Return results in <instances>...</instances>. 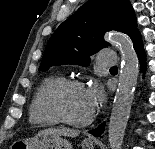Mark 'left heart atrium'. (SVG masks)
Masks as SVG:
<instances>
[{"instance_id": "obj_1", "label": "left heart atrium", "mask_w": 155, "mask_h": 149, "mask_svg": "<svg viewBox=\"0 0 155 149\" xmlns=\"http://www.w3.org/2000/svg\"><path fill=\"white\" fill-rule=\"evenodd\" d=\"M86 97L92 113H94L104 102V92L99 84H94L86 89Z\"/></svg>"}]
</instances>
